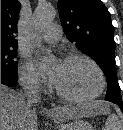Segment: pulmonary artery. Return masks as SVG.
<instances>
[{
    "label": "pulmonary artery",
    "instance_id": "e3ab8cb5",
    "mask_svg": "<svg viewBox=\"0 0 123 130\" xmlns=\"http://www.w3.org/2000/svg\"><path fill=\"white\" fill-rule=\"evenodd\" d=\"M61 37V29L58 25L49 26L42 34V39L50 44L56 43Z\"/></svg>",
    "mask_w": 123,
    "mask_h": 130
}]
</instances>
